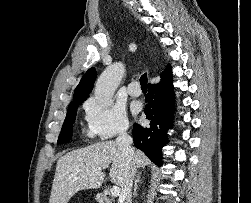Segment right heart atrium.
<instances>
[{
  "label": "right heart atrium",
  "instance_id": "1",
  "mask_svg": "<svg viewBox=\"0 0 251 203\" xmlns=\"http://www.w3.org/2000/svg\"><path fill=\"white\" fill-rule=\"evenodd\" d=\"M90 135L109 140L126 132L129 122L124 110L118 106H105L94 98L85 105Z\"/></svg>",
  "mask_w": 251,
  "mask_h": 203
}]
</instances>
